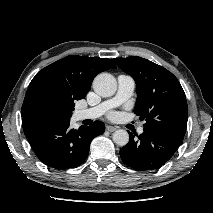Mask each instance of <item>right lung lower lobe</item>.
<instances>
[{"label":"right lung lower lobe","mask_w":213,"mask_h":213,"mask_svg":"<svg viewBox=\"0 0 213 213\" xmlns=\"http://www.w3.org/2000/svg\"><path fill=\"white\" fill-rule=\"evenodd\" d=\"M69 121H48L24 117L22 126L34 153L41 162L55 169L78 166L87 158L92 139L105 131L101 121L70 129Z\"/></svg>","instance_id":"1"}]
</instances>
